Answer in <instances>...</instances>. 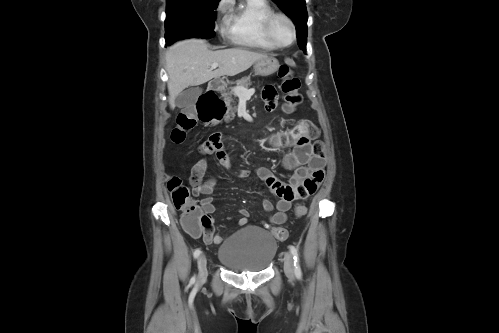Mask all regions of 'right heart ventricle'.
<instances>
[{
    "label": "right heart ventricle",
    "instance_id": "e07e8e85",
    "mask_svg": "<svg viewBox=\"0 0 499 333\" xmlns=\"http://www.w3.org/2000/svg\"><path fill=\"white\" fill-rule=\"evenodd\" d=\"M274 12L269 0H240L227 5L228 37L238 46L270 51L276 46L264 30L265 19Z\"/></svg>",
    "mask_w": 499,
    "mask_h": 333
}]
</instances>
